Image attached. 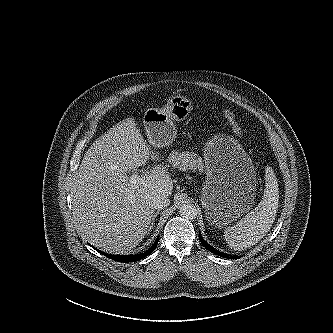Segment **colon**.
<instances>
[{"mask_svg":"<svg viewBox=\"0 0 333 333\" xmlns=\"http://www.w3.org/2000/svg\"><path fill=\"white\" fill-rule=\"evenodd\" d=\"M225 115L229 120L234 132L239 136H243L245 134V128L243 125L237 120L236 116L231 111H225Z\"/></svg>","mask_w":333,"mask_h":333,"instance_id":"1","label":"colon"}]
</instances>
